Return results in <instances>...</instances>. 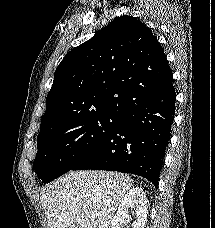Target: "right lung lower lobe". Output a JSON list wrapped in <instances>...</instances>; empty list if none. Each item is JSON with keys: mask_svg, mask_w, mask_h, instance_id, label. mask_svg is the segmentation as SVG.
<instances>
[{"mask_svg": "<svg viewBox=\"0 0 215 228\" xmlns=\"http://www.w3.org/2000/svg\"><path fill=\"white\" fill-rule=\"evenodd\" d=\"M173 76L162 92L127 108L113 130L71 170L137 174L157 188L175 115Z\"/></svg>", "mask_w": 215, "mask_h": 228, "instance_id": "98d812e1", "label": "right lung lower lobe"}]
</instances>
